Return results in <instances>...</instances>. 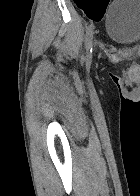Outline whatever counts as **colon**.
<instances>
[{"label": "colon", "instance_id": "5ec220e1", "mask_svg": "<svg viewBox=\"0 0 140 196\" xmlns=\"http://www.w3.org/2000/svg\"><path fill=\"white\" fill-rule=\"evenodd\" d=\"M74 2L77 4H84V1H82V0H74Z\"/></svg>", "mask_w": 140, "mask_h": 196}]
</instances>
